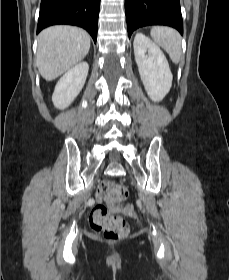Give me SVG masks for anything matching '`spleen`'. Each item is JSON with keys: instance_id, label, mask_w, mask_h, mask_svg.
<instances>
[{"instance_id": "spleen-1", "label": "spleen", "mask_w": 229, "mask_h": 280, "mask_svg": "<svg viewBox=\"0 0 229 280\" xmlns=\"http://www.w3.org/2000/svg\"><path fill=\"white\" fill-rule=\"evenodd\" d=\"M151 37L161 46L174 63H179L182 54L181 36L171 27L156 26L151 29Z\"/></svg>"}]
</instances>
